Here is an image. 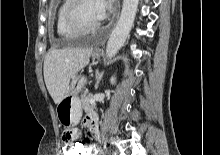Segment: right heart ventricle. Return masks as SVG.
Masks as SVG:
<instances>
[{"label": "right heart ventricle", "mask_w": 220, "mask_h": 155, "mask_svg": "<svg viewBox=\"0 0 220 155\" xmlns=\"http://www.w3.org/2000/svg\"><path fill=\"white\" fill-rule=\"evenodd\" d=\"M69 0H62L60 5L58 6L55 18V26L56 32L59 36L63 38H77L81 36V33L75 32L68 28L64 22V11L66 6L68 5Z\"/></svg>", "instance_id": "right-heart-ventricle-1"}]
</instances>
